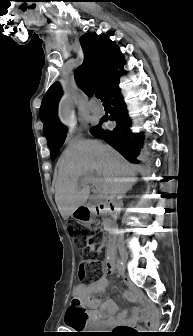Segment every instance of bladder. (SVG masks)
<instances>
[{
  "instance_id": "31cf9c89",
  "label": "bladder",
  "mask_w": 193,
  "mask_h": 336,
  "mask_svg": "<svg viewBox=\"0 0 193 336\" xmlns=\"http://www.w3.org/2000/svg\"><path fill=\"white\" fill-rule=\"evenodd\" d=\"M85 329H103L102 325L98 322H90V323H85L84 324Z\"/></svg>"
}]
</instances>
